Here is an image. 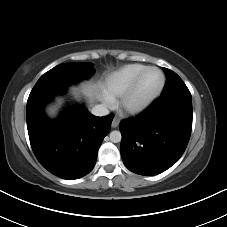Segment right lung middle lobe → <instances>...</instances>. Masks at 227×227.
I'll use <instances>...</instances> for the list:
<instances>
[{
  "mask_svg": "<svg viewBox=\"0 0 227 227\" xmlns=\"http://www.w3.org/2000/svg\"><path fill=\"white\" fill-rule=\"evenodd\" d=\"M94 72L95 69L90 63H66L58 65L40 77L33 87L28 101L65 88L82 79L89 78Z\"/></svg>",
  "mask_w": 227,
  "mask_h": 227,
  "instance_id": "1",
  "label": "right lung middle lobe"
}]
</instances>
